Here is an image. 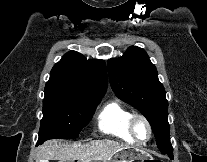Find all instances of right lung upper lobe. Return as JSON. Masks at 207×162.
Here are the masks:
<instances>
[{
    "label": "right lung upper lobe",
    "mask_w": 207,
    "mask_h": 162,
    "mask_svg": "<svg viewBox=\"0 0 207 162\" xmlns=\"http://www.w3.org/2000/svg\"><path fill=\"white\" fill-rule=\"evenodd\" d=\"M107 90V71L103 60H87L70 51L51 70L45 91L86 97H103Z\"/></svg>",
    "instance_id": "cb5924a9"
}]
</instances>
